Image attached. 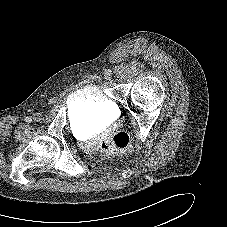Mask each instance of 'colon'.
<instances>
[{"label": "colon", "instance_id": "colon-1", "mask_svg": "<svg viewBox=\"0 0 227 227\" xmlns=\"http://www.w3.org/2000/svg\"><path fill=\"white\" fill-rule=\"evenodd\" d=\"M130 144V137L127 133L120 132L101 140L100 149L105 153H119L125 150Z\"/></svg>", "mask_w": 227, "mask_h": 227}]
</instances>
